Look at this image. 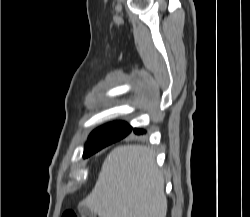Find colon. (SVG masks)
<instances>
[{
    "label": "colon",
    "mask_w": 250,
    "mask_h": 217,
    "mask_svg": "<svg viewBox=\"0 0 250 217\" xmlns=\"http://www.w3.org/2000/svg\"><path fill=\"white\" fill-rule=\"evenodd\" d=\"M62 217H85V216L75 210H68L62 215Z\"/></svg>",
    "instance_id": "5ec220e1"
}]
</instances>
